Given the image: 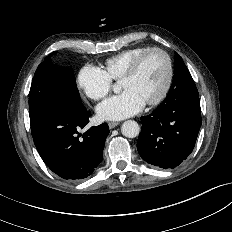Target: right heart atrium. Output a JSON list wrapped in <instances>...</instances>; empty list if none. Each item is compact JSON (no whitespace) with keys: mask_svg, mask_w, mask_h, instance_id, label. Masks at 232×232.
Wrapping results in <instances>:
<instances>
[{"mask_svg":"<svg viewBox=\"0 0 232 232\" xmlns=\"http://www.w3.org/2000/svg\"><path fill=\"white\" fill-rule=\"evenodd\" d=\"M77 84L86 97L92 100H101L109 94L112 80L103 69L85 65L78 72Z\"/></svg>","mask_w":232,"mask_h":232,"instance_id":"right-heart-atrium-1","label":"right heart atrium"}]
</instances>
